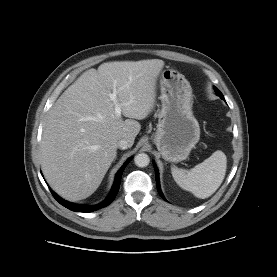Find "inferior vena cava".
Masks as SVG:
<instances>
[{
  "label": "inferior vena cava",
  "mask_w": 277,
  "mask_h": 277,
  "mask_svg": "<svg viewBox=\"0 0 277 277\" xmlns=\"http://www.w3.org/2000/svg\"><path fill=\"white\" fill-rule=\"evenodd\" d=\"M117 145H118V147H119L120 149H127V148L130 147V143H129V141L126 140V139H121V140H119L118 143H117Z\"/></svg>",
  "instance_id": "602c4592"
}]
</instances>
